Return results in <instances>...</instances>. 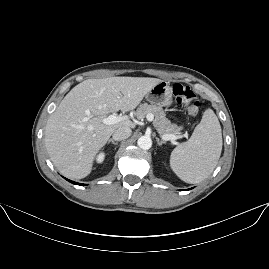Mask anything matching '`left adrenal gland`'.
<instances>
[{"label": "left adrenal gland", "mask_w": 269, "mask_h": 269, "mask_svg": "<svg viewBox=\"0 0 269 269\" xmlns=\"http://www.w3.org/2000/svg\"><path fill=\"white\" fill-rule=\"evenodd\" d=\"M157 144L161 146L162 144H166V141H160L159 138L156 137Z\"/></svg>", "instance_id": "a2214340"}]
</instances>
